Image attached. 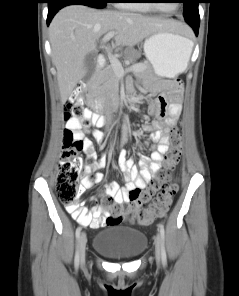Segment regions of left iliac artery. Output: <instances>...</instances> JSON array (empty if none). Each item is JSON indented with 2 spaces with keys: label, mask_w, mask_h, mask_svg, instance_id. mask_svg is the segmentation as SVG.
I'll list each match as a JSON object with an SVG mask.
<instances>
[{
  "label": "left iliac artery",
  "mask_w": 239,
  "mask_h": 296,
  "mask_svg": "<svg viewBox=\"0 0 239 296\" xmlns=\"http://www.w3.org/2000/svg\"><path fill=\"white\" fill-rule=\"evenodd\" d=\"M161 235V251H162V264L165 267L167 265V256L165 251V230L163 224H159Z\"/></svg>",
  "instance_id": "obj_1"
}]
</instances>
